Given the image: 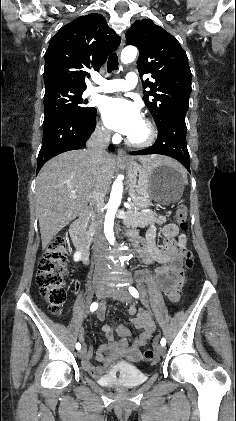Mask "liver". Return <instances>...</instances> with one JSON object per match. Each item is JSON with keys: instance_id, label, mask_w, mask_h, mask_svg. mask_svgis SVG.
<instances>
[{"instance_id": "6515ba94", "label": "liver", "mask_w": 236, "mask_h": 421, "mask_svg": "<svg viewBox=\"0 0 236 421\" xmlns=\"http://www.w3.org/2000/svg\"><path fill=\"white\" fill-rule=\"evenodd\" d=\"M136 158L143 166L169 164L183 170L182 164L169 156L146 154ZM115 168L116 160L112 154L106 152L99 164H91L86 150L62 152L42 166L35 186L42 249H46L61 229L83 213L88 202L94 200V188L99 186L106 194Z\"/></svg>"}]
</instances>
